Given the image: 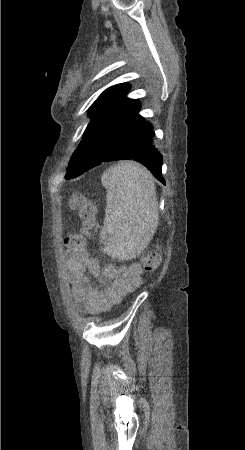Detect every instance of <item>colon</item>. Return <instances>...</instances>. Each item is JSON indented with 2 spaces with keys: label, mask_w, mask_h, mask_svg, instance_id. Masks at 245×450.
Instances as JSON below:
<instances>
[{
  "label": "colon",
  "mask_w": 245,
  "mask_h": 450,
  "mask_svg": "<svg viewBox=\"0 0 245 450\" xmlns=\"http://www.w3.org/2000/svg\"><path fill=\"white\" fill-rule=\"evenodd\" d=\"M70 207L78 213L82 226L78 232L67 236L64 244L77 259L82 260L87 257L86 241L93 237L92 231L97 221V206L84 194L75 192L70 197ZM138 262L143 270L152 272L160 263L159 253L155 250L147 251L140 256Z\"/></svg>",
  "instance_id": "5ec220e1"
}]
</instances>
